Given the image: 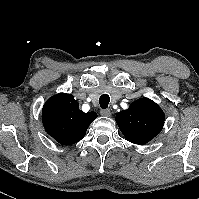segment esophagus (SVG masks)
<instances>
[{
  "label": "esophagus",
  "instance_id": "1",
  "mask_svg": "<svg viewBox=\"0 0 199 199\" xmlns=\"http://www.w3.org/2000/svg\"><path fill=\"white\" fill-rule=\"evenodd\" d=\"M101 115L106 116V117L110 116L111 115L110 109L101 110Z\"/></svg>",
  "mask_w": 199,
  "mask_h": 199
}]
</instances>
